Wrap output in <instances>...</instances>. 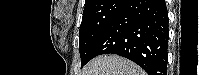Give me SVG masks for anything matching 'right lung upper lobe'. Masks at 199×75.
<instances>
[{
  "label": "right lung upper lobe",
  "instance_id": "right-lung-upper-lobe-1",
  "mask_svg": "<svg viewBox=\"0 0 199 75\" xmlns=\"http://www.w3.org/2000/svg\"><path fill=\"white\" fill-rule=\"evenodd\" d=\"M106 0H86L85 1V7L84 9L87 8H93L102 5Z\"/></svg>",
  "mask_w": 199,
  "mask_h": 75
}]
</instances>
